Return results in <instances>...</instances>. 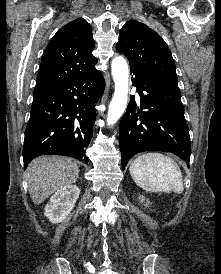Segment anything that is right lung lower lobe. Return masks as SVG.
<instances>
[{"instance_id": "obj_1", "label": "right lung lower lobe", "mask_w": 221, "mask_h": 274, "mask_svg": "<svg viewBox=\"0 0 221 274\" xmlns=\"http://www.w3.org/2000/svg\"><path fill=\"white\" fill-rule=\"evenodd\" d=\"M104 87L100 71L95 70L33 94L25 130L24 169L34 158L47 154L70 156L88 163L85 149L93 135L94 104Z\"/></svg>"}]
</instances>
